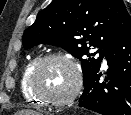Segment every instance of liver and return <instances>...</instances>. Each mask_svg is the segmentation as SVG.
<instances>
[{
	"label": "liver",
	"mask_w": 131,
	"mask_h": 115,
	"mask_svg": "<svg viewBox=\"0 0 131 115\" xmlns=\"http://www.w3.org/2000/svg\"><path fill=\"white\" fill-rule=\"evenodd\" d=\"M15 115H40V114L32 110H21L17 112Z\"/></svg>",
	"instance_id": "6515ba94"
}]
</instances>
